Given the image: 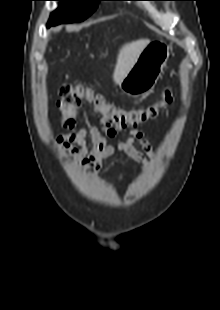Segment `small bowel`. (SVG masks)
I'll use <instances>...</instances> for the list:
<instances>
[{
	"instance_id": "1",
	"label": "small bowel",
	"mask_w": 220,
	"mask_h": 310,
	"mask_svg": "<svg viewBox=\"0 0 220 310\" xmlns=\"http://www.w3.org/2000/svg\"><path fill=\"white\" fill-rule=\"evenodd\" d=\"M116 133L117 129L104 125L101 128L90 126L67 136L60 135L56 143L66 156L74 158L77 168L82 171L93 169L99 179L103 161L120 154L145 166L150 164L154 150L144 132L132 129L126 140L115 145L108 144L107 138H113ZM87 139L93 145L91 150L86 146ZM135 142L139 143L142 151L135 147Z\"/></svg>"
}]
</instances>
